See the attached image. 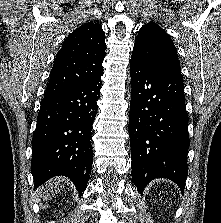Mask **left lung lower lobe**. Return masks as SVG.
Instances as JSON below:
<instances>
[{
	"label": "left lung lower lobe",
	"instance_id": "left-lung-lower-lobe-1",
	"mask_svg": "<svg viewBox=\"0 0 221 223\" xmlns=\"http://www.w3.org/2000/svg\"><path fill=\"white\" fill-rule=\"evenodd\" d=\"M129 135L132 179L139 191L167 178L184 192L188 173V115L182 75L130 61Z\"/></svg>",
	"mask_w": 221,
	"mask_h": 223
}]
</instances>
